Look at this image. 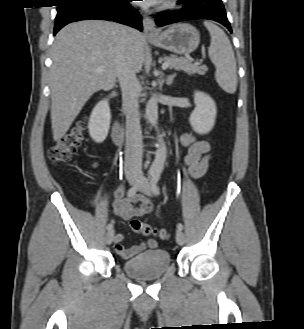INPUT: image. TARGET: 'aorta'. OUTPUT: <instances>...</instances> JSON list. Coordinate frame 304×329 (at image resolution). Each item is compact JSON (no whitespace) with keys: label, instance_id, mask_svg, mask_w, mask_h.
Wrapping results in <instances>:
<instances>
[{"label":"aorta","instance_id":"1","mask_svg":"<svg viewBox=\"0 0 304 329\" xmlns=\"http://www.w3.org/2000/svg\"><path fill=\"white\" fill-rule=\"evenodd\" d=\"M146 118L149 123L158 131V103L157 98L155 96L151 97L146 106ZM158 141L160 144L159 149L156 152L154 162L151 166V171L159 172L163 169L167 150L165 146V142L163 140L162 135L158 133Z\"/></svg>","mask_w":304,"mask_h":329}]
</instances>
